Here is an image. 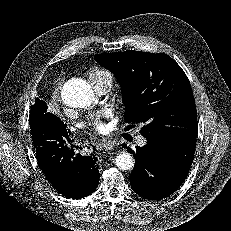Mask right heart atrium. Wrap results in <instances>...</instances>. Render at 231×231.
<instances>
[{"label":"right heart atrium","mask_w":231,"mask_h":231,"mask_svg":"<svg viewBox=\"0 0 231 231\" xmlns=\"http://www.w3.org/2000/svg\"><path fill=\"white\" fill-rule=\"evenodd\" d=\"M60 87H61V82H58L55 87V94H58Z\"/></svg>","instance_id":"1"}]
</instances>
